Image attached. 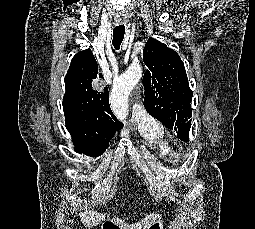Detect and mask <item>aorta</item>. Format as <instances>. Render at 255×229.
Segmentation results:
<instances>
[{
  "instance_id": "obj_1",
  "label": "aorta",
  "mask_w": 255,
  "mask_h": 229,
  "mask_svg": "<svg viewBox=\"0 0 255 229\" xmlns=\"http://www.w3.org/2000/svg\"><path fill=\"white\" fill-rule=\"evenodd\" d=\"M142 75L139 64H132L114 83L110 94V106L120 121L128 115V96Z\"/></svg>"
}]
</instances>
